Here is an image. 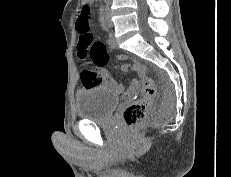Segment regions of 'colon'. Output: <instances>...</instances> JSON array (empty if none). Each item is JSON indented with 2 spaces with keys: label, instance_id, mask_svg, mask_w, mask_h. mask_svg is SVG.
I'll return each instance as SVG.
<instances>
[{
  "label": "colon",
  "instance_id": "obj_1",
  "mask_svg": "<svg viewBox=\"0 0 231 177\" xmlns=\"http://www.w3.org/2000/svg\"><path fill=\"white\" fill-rule=\"evenodd\" d=\"M91 9L89 5L81 8L77 19V29L80 32L79 56L96 66H103L109 61V54L102 43L94 42L90 26ZM87 84H96L100 78L97 72L87 69L82 74ZM156 95V85L150 77L142 80V96L128 105L124 110V120L128 127L140 125L146 118L152 99Z\"/></svg>",
  "mask_w": 231,
  "mask_h": 177
}]
</instances>
